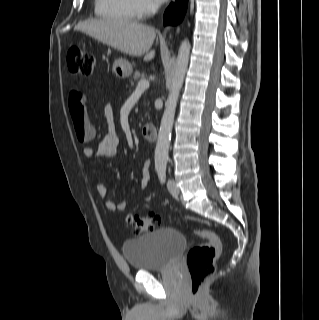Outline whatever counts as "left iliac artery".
I'll return each mask as SVG.
<instances>
[{
	"label": "left iliac artery",
	"mask_w": 319,
	"mask_h": 320,
	"mask_svg": "<svg viewBox=\"0 0 319 320\" xmlns=\"http://www.w3.org/2000/svg\"><path fill=\"white\" fill-rule=\"evenodd\" d=\"M158 176L161 182H165L166 166H160L157 168Z\"/></svg>",
	"instance_id": "44dca946"
}]
</instances>
